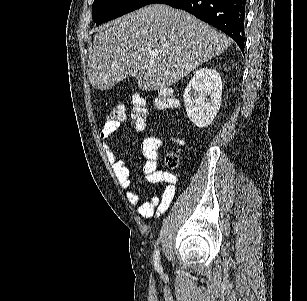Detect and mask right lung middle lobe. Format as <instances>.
<instances>
[{
  "instance_id": "dd1d6c3e",
  "label": "right lung middle lobe",
  "mask_w": 307,
  "mask_h": 301,
  "mask_svg": "<svg viewBox=\"0 0 307 301\" xmlns=\"http://www.w3.org/2000/svg\"><path fill=\"white\" fill-rule=\"evenodd\" d=\"M149 2L150 0H94L92 5L93 21L99 25L143 7Z\"/></svg>"
}]
</instances>
